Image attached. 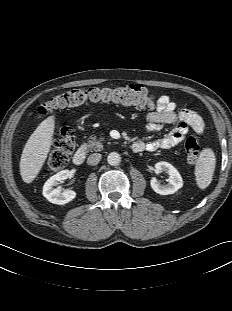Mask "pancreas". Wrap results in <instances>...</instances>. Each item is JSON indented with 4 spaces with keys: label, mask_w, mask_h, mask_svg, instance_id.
Returning a JSON list of instances; mask_svg holds the SVG:
<instances>
[{
    "label": "pancreas",
    "mask_w": 232,
    "mask_h": 311,
    "mask_svg": "<svg viewBox=\"0 0 232 311\" xmlns=\"http://www.w3.org/2000/svg\"><path fill=\"white\" fill-rule=\"evenodd\" d=\"M102 140L103 138L97 140L96 137H91L88 143H84V147H86L88 150L101 151L103 149V145L101 143Z\"/></svg>",
    "instance_id": "obj_1"
}]
</instances>
